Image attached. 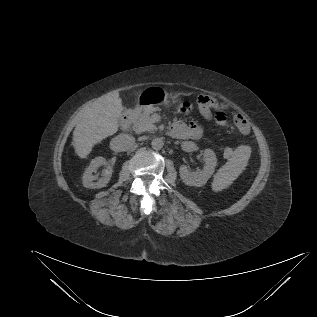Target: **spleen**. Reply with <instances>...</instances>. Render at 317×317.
Listing matches in <instances>:
<instances>
[{
    "label": "spleen",
    "mask_w": 317,
    "mask_h": 317,
    "mask_svg": "<svg viewBox=\"0 0 317 317\" xmlns=\"http://www.w3.org/2000/svg\"><path fill=\"white\" fill-rule=\"evenodd\" d=\"M250 153L251 151L248 146H240L234 151L233 156L214 176L211 185L214 192L221 191L231 185L246 167Z\"/></svg>",
    "instance_id": "obj_1"
}]
</instances>
